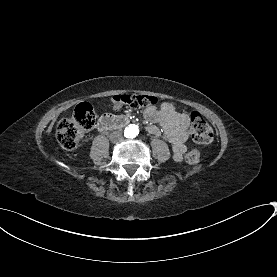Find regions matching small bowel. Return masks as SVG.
<instances>
[{"label": "small bowel", "instance_id": "1", "mask_svg": "<svg viewBox=\"0 0 277 277\" xmlns=\"http://www.w3.org/2000/svg\"><path fill=\"white\" fill-rule=\"evenodd\" d=\"M144 117L151 122L147 132L153 136L163 133L172 146L174 160L181 161L189 137V116L179 112L172 103L164 102L146 108Z\"/></svg>", "mask_w": 277, "mask_h": 277}]
</instances>
